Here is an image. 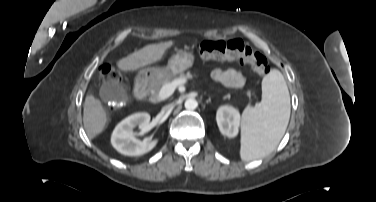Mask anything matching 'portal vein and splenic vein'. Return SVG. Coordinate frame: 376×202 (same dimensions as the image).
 <instances>
[{
  "label": "portal vein and splenic vein",
  "instance_id": "portal-vein-and-splenic-vein-1",
  "mask_svg": "<svg viewBox=\"0 0 376 202\" xmlns=\"http://www.w3.org/2000/svg\"><path fill=\"white\" fill-rule=\"evenodd\" d=\"M187 83V80L185 79H176L170 83H167L165 85L162 86V88L160 89L159 91V97L161 99H166L168 97H170L175 89L183 84Z\"/></svg>",
  "mask_w": 376,
  "mask_h": 202
}]
</instances>
